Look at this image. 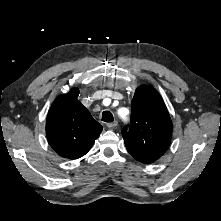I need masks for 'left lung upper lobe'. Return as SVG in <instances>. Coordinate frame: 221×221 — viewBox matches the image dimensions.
<instances>
[{
	"label": "left lung upper lobe",
	"mask_w": 221,
	"mask_h": 221,
	"mask_svg": "<svg viewBox=\"0 0 221 221\" xmlns=\"http://www.w3.org/2000/svg\"><path fill=\"white\" fill-rule=\"evenodd\" d=\"M172 121L165 103L151 86H139L132 100L131 124L122 136L129 154L142 163L159 159L170 145Z\"/></svg>",
	"instance_id": "1"
}]
</instances>
